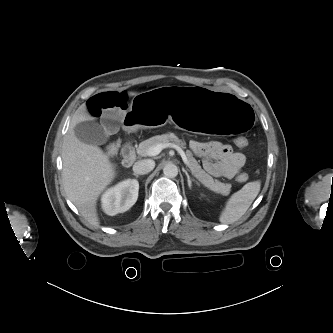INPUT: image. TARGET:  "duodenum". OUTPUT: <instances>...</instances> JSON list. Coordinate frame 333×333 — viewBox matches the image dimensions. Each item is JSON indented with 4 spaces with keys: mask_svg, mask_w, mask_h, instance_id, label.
I'll return each mask as SVG.
<instances>
[{
    "mask_svg": "<svg viewBox=\"0 0 333 333\" xmlns=\"http://www.w3.org/2000/svg\"><path fill=\"white\" fill-rule=\"evenodd\" d=\"M122 155H123V160H122L123 165L125 167H130L136 159L134 145L131 141H128L123 145Z\"/></svg>",
    "mask_w": 333,
    "mask_h": 333,
    "instance_id": "410a0bca",
    "label": "duodenum"
}]
</instances>
